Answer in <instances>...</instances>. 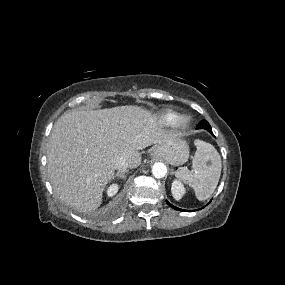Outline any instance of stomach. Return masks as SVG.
I'll use <instances>...</instances> for the list:
<instances>
[{
    "instance_id": "1",
    "label": "stomach",
    "mask_w": 285,
    "mask_h": 285,
    "mask_svg": "<svg viewBox=\"0 0 285 285\" xmlns=\"http://www.w3.org/2000/svg\"><path fill=\"white\" fill-rule=\"evenodd\" d=\"M152 156L165 159L171 165L178 166L188 160L189 147L185 140L174 137L167 142L155 146Z\"/></svg>"
}]
</instances>
